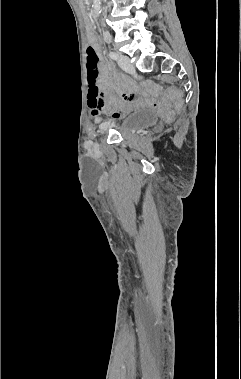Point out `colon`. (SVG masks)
Here are the masks:
<instances>
[{"label": "colon", "instance_id": "colon-1", "mask_svg": "<svg viewBox=\"0 0 241 379\" xmlns=\"http://www.w3.org/2000/svg\"><path fill=\"white\" fill-rule=\"evenodd\" d=\"M86 67L88 83H97L99 76V57L93 46H89L86 50ZM169 96L170 97H157L156 94H150L149 90H142L139 98H125L122 101V93L114 92L113 88H109L108 92L104 93L103 101L107 103H120L122 101L123 104H127L130 109H148L150 106L159 109L165 118H171L175 111L180 110L182 102L179 98H172L177 96L174 91L170 92ZM170 104L174 105V107Z\"/></svg>", "mask_w": 241, "mask_h": 379}]
</instances>
